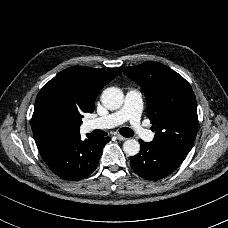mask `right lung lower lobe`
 Segmentation results:
<instances>
[{"label": "right lung lower lobe", "instance_id": "obj_1", "mask_svg": "<svg viewBox=\"0 0 228 228\" xmlns=\"http://www.w3.org/2000/svg\"><path fill=\"white\" fill-rule=\"evenodd\" d=\"M109 137L92 135L81 140L80 133L57 138L38 146L48 167L66 180H80L90 175L98 166L102 149Z\"/></svg>", "mask_w": 228, "mask_h": 228}]
</instances>
